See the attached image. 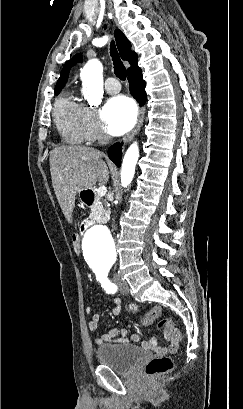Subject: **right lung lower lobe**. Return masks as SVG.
Listing matches in <instances>:
<instances>
[{"label":"right lung lower lobe","instance_id":"1","mask_svg":"<svg viewBox=\"0 0 243 409\" xmlns=\"http://www.w3.org/2000/svg\"><path fill=\"white\" fill-rule=\"evenodd\" d=\"M128 81L130 84L131 94L133 97L143 105L146 101V93H145V81L142 78V71H137L132 75L128 76ZM121 146L122 144L116 143L109 149V158L117 165L120 166L121 164Z\"/></svg>","mask_w":243,"mask_h":409}]
</instances>
